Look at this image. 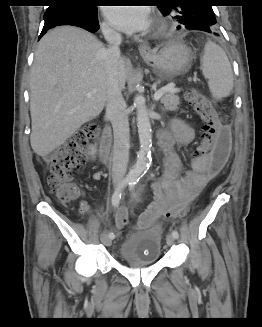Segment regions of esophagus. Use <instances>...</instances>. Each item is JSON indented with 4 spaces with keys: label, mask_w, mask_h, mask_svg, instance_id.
<instances>
[{
    "label": "esophagus",
    "mask_w": 262,
    "mask_h": 327,
    "mask_svg": "<svg viewBox=\"0 0 262 327\" xmlns=\"http://www.w3.org/2000/svg\"><path fill=\"white\" fill-rule=\"evenodd\" d=\"M139 52L141 56H151L153 54L150 46L146 43H141L139 45Z\"/></svg>",
    "instance_id": "34e87169"
}]
</instances>
